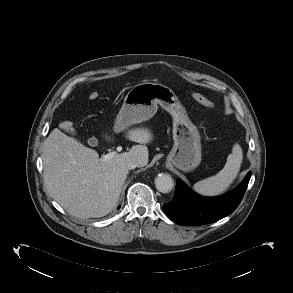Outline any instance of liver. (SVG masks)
Listing matches in <instances>:
<instances>
[{
	"label": "liver",
	"mask_w": 293,
	"mask_h": 293,
	"mask_svg": "<svg viewBox=\"0 0 293 293\" xmlns=\"http://www.w3.org/2000/svg\"><path fill=\"white\" fill-rule=\"evenodd\" d=\"M129 140L147 144L152 133L134 129ZM128 160L148 163V148L134 145L128 152L103 161L98 153L54 129L42 145L44 183L51 197L74 217L99 218L117 204L129 169Z\"/></svg>",
	"instance_id": "1"
}]
</instances>
